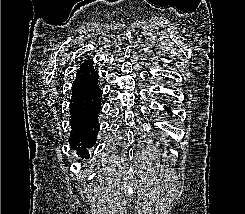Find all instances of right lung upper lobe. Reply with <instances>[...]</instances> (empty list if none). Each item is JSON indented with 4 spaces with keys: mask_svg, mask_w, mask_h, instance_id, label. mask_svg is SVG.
I'll list each match as a JSON object with an SVG mask.
<instances>
[{
    "mask_svg": "<svg viewBox=\"0 0 245 214\" xmlns=\"http://www.w3.org/2000/svg\"><path fill=\"white\" fill-rule=\"evenodd\" d=\"M80 67V75L83 80H91L98 77L97 72L92 67V61H85Z\"/></svg>",
    "mask_w": 245,
    "mask_h": 214,
    "instance_id": "right-lung-upper-lobe-1",
    "label": "right lung upper lobe"
}]
</instances>
